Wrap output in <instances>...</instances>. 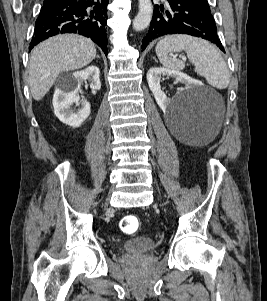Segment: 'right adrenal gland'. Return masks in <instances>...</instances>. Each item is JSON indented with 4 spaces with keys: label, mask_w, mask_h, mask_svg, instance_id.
<instances>
[{
    "label": "right adrenal gland",
    "mask_w": 267,
    "mask_h": 301,
    "mask_svg": "<svg viewBox=\"0 0 267 301\" xmlns=\"http://www.w3.org/2000/svg\"><path fill=\"white\" fill-rule=\"evenodd\" d=\"M96 58H98V59H99V58H100V57H99V55H97V56H96Z\"/></svg>",
    "instance_id": "2a0ac1e0"
}]
</instances>
